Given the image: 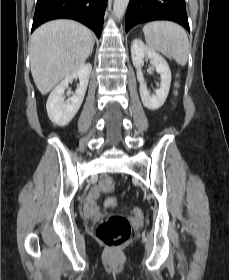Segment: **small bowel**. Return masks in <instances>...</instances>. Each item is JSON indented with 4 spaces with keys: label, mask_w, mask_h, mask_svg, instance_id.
<instances>
[{
    "label": "small bowel",
    "mask_w": 229,
    "mask_h": 280,
    "mask_svg": "<svg viewBox=\"0 0 229 280\" xmlns=\"http://www.w3.org/2000/svg\"><path fill=\"white\" fill-rule=\"evenodd\" d=\"M101 194H107L101 186H94L90 189L87 195L85 205L82 209L85 216H95L102 214L109 208L116 206V200L114 197L107 196L104 203V208H100L97 204V200Z\"/></svg>",
    "instance_id": "c3829d8e"
}]
</instances>
